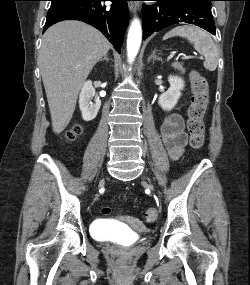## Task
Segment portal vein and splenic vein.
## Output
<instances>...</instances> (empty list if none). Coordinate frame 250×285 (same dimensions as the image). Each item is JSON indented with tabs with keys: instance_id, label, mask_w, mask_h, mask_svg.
I'll use <instances>...</instances> for the list:
<instances>
[{
	"instance_id": "obj_1",
	"label": "portal vein and splenic vein",
	"mask_w": 250,
	"mask_h": 285,
	"mask_svg": "<svg viewBox=\"0 0 250 285\" xmlns=\"http://www.w3.org/2000/svg\"><path fill=\"white\" fill-rule=\"evenodd\" d=\"M174 54H172V56H173ZM184 59H190V58H195V56H184L183 57Z\"/></svg>"
}]
</instances>
